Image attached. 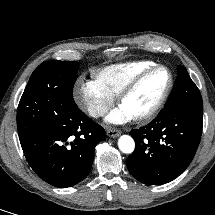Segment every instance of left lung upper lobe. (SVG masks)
<instances>
[{
  "label": "left lung upper lobe",
  "instance_id": "left-lung-upper-lobe-1",
  "mask_svg": "<svg viewBox=\"0 0 215 215\" xmlns=\"http://www.w3.org/2000/svg\"><path fill=\"white\" fill-rule=\"evenodd\" d=\"M180 104L203 108L199 89L190 78L186 69L179 65L178 77L165 107Z\"/></svg>",
  "mask_w": 215,
  "mask_h": 215
}]
</instances>
